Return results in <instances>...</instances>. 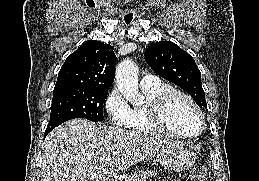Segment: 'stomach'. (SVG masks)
I'll return each mask as SVG.
<instances>
[{"label": "stomach", "mask_w": 259, "mask_h": 181, "mask_svg": "<svg viewBox=\"0 0 259 181\" xmlns=\"http://www.w3.org/2000/svg\"><path fill=\"white\" fill-rule=\"evenodd\" d=\"M156 161L167 169L182 171L193 165L195 157L194 154L182 144L173 142L157 153Z\"/></svg>", "instance_id": "1"}]
</instances>
